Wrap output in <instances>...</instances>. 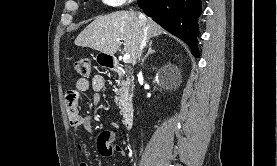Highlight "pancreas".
<instances>
[{
    "label": "pancreas",
    "instance_id": "1",
    "mask_svg": "<svg viewBox=\"0 0 277 166\" xmlns=\"http://www.w3.org/2000/svg\"><path fill=\"white\" fill-rule=\"evenodd\" d=\"M117 85L119 89L116 92L115 103L120 106L123 101L128 100L132 96L131 94H129L131 81L129 78H127L126 81L119 79L117 81Z\"/></svg>",
    "mask_w": 277,
    "mask_h": 166
}]
</instances>
